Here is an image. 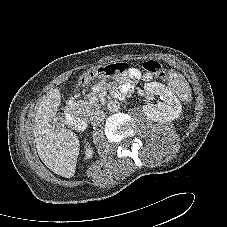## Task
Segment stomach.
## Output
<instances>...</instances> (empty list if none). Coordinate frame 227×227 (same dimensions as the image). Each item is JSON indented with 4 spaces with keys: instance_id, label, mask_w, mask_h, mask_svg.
<instances>
[{
    "instance_id": "0dacf381",
    "label": "stomach",
    "mask_w": 227,
    "mask_h": 227,
    "mask_svg": "<svg viewBox=\"0 0 227 227\" xmlns=\"http://www.w3.org/2000/svg\"><path fill=\"white\" fill-rule=\"evenodd\" d=\"M98 69H99V68H97V69L94 70V72H95L97 75L100 73V72H98Z\"/></svg>"
}]
</instances>
